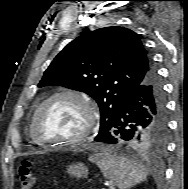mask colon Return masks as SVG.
I'll list each match as a JSON object with an SVG mask.
<instances>
[{
    "mask_svg": "<svg viewBox=\"0 0 188 189\" xmlns=\"http://www.w3.org/2000/svg\"><path fill=\"white\" fill-rule=\"evenodd\" d=\"M20 189H32L34 185V176L32 172V163L23 161L18 169Z\"/></svg>",
    "mask_w": 188,
    "mask_h": 189,
    "instance_id": "1",
    "label": "colon"
}]
</instances>
